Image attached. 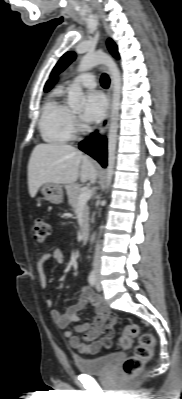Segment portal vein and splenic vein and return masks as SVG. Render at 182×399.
I'll return each mask as SVG.
<instances>
[{
    "label": "portal vein and splenic vein",
    "instance_id": "18ae733b",
    "mask_svg": "<svg viewBox=\"0 0 182 399\" xmlns=\"http://www.w3.org/2000/svg\"><path fill=\"white\" fill-rule=\"evenodd\" d=\"M91 196H92V191L90 189L82 190V193L79 196L78 204L87 202L91 198Z\"/></svg>",
    "mask_w": 182,
    "mask_h": 399
}]
</instances>
